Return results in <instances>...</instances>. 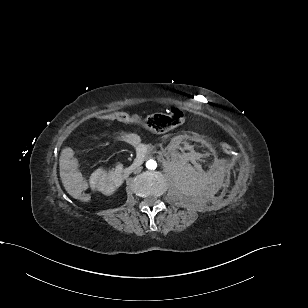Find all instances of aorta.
Segmentation results:
<instances>
[{
	"mask_svg": "<svg viewBox=\"0 0 308 308\" xmlns=\"http://www.w3.org/2000/svg\"><path fill=\"white\" fill-rule=\"evenodd\" d=\"M146 167L148 168V169H156V167H157V163H156V161H154V160H152V159H150V160H148L147 162H146Z\"/></svg>",
	"mask_w": 308,
	"mask_h": 308,
	"instance_id": "762f6f07",
	"label": "aorta"
}]
</instances>
